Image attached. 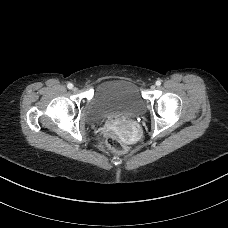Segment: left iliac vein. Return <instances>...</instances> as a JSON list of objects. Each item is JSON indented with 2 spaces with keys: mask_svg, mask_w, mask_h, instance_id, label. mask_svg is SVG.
Masks as SVG:
<instances>
[{
  "mask_svg": "<svg viewBox=\"0 0 228 228\" xmlns=\"http://www.w3.org/2000/svg\"><path fill=\"white\" fill-rule=\"evenodd\" d=\"M150 89L151 90H155L156 89V86L155 85H151Z\"/></svg>",
  "mask_w": 228,
  "mask_h": 228,
  "instance_id": "obj_1",
  "label": "left iliac vein"
}]
</instances>
